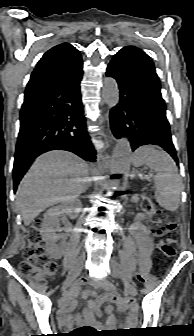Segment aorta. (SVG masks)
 Listing matches in <instances>:
<instances>
[{"instance_id":"obj_1","label":"aorta","mask_w":194,"mask_h":336,"mask_svg":"<svg viewBox=\"0 0 194 336\" xmlns=\"http://www.w3.org/2000/svg\"><path fill=\"white\" fill-rule=\"evenodd\" d=\"M102 97L109 108L115 107L119 102V89L117 82L113 78H105L102 87ZM131 146L127 138L118 140L110 162V172L112 174L123 173L129 164Z\"/></svg>"}]
</instances>
